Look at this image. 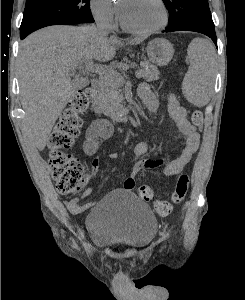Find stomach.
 Instances as JSON below:
<instances>
[{"instance_id":"1","label":"stomach","mask_w":245,"mask_h":300,"mask_svg":"<svg viewBox=\"0 0 245 300\" xmlns=\"http://www.w3.org/2000/svg\"><path fill=\"white\" fill-rule=\"evenodd\" d=\"M147 54L152 63L158 66H165L171 61L174 49L168 40L158 38L148 43Z\"/></svg>"}]
</instances>
